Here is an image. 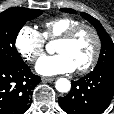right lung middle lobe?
Listing matches in <instances>:
<instances>
[{
  "label": "right lung middle lobe",
  "mask_w": 114,
  "mask_h": 114,
  "mask_svg": "<svg viewBox=\"0 0 114 114\" xmlns=\"http://www.w3.org/2000/svg\"><path fill=\"white\" fill-rule=\"evenodd\" d=\"M42 14L38 9H7L0 13V66H15L23 63L15 41L26 21Z\"/></svg>",
  "instance_id": "1"
}]
</instances>
